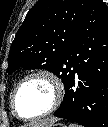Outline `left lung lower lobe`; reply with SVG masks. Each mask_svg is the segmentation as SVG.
<instances>
[{"instance_id": "0a47b994", "label": "left lung lower lobe", "mask_w": 108, "mask_h": 127, "mask_svg": "<svg viewBox=\"0 0 108 127\" xmlns=\"http://www.w3.org/2000/svg\"><path fill=\"white\" fill-rule=\"evenodd\" d=\"M65 96L55 116L108 127V8L89 0L64 64Z\"/></svg>"}]
</instances>
